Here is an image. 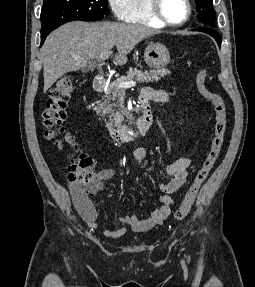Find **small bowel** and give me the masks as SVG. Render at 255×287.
Wrapping results in <instances>:
<instances>
[{"label":"small bowel","mask_w":255,"mask_h":287,"mask_svg":"<svg viewBox=\"0 0 255 287\" xmlns=\"http://www.w3.org/2000/svg\"><path fill=\"white\" fill-rule=\"evenodd\" d=\"M153 96L155 100L162 103H167L169 100V95L164 92H157ZM146 157L147 149L145 147H138L133 152V159L137 164H141ZM190 165L191 160L189 158L181 157L165 169L166 181L160 184V190L163 193L160 197V204L148 218L139 219L134 214L121 216L119 222L122 224V227L106 229L103 232L104 236L118 238L126 233L127 227H130L135 232H144L162 224L171 214V208L175 202L174 194L186 183ZM113 175L112 169L101 170L86 189L79 182H69V190L74 206L90 229H96L98 226L97 213L90 196L100 192Z\"/></svg>","instance_id":"1"}]
</instances>
